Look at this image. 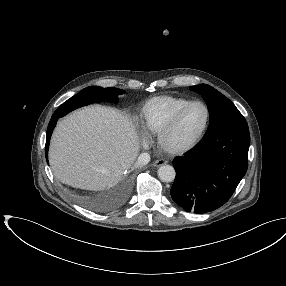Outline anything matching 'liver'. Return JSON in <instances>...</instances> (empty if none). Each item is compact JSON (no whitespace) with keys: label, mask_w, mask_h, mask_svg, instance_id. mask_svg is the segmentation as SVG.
Returning <instances> with one entry per match:
<instances>
[{"label":"liver","mask_w":286,"mask_h":286,"mask_svg":"<svg viewBox=\"0 0 286 286\" xmlns=\"http://www.w3.org/2000/svg\"><path fill=\"white\" fill-rule=\"evenodd\" d=\"M139 148L127 116L114 108L93 105L59 122L51 138L49 162L61 182L98 191L123 178Z\"/></svg>","instance_id":"6515ba94"}]
</instances>
